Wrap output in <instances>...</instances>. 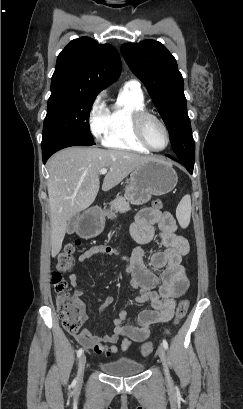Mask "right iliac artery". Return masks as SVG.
I'll return each mask as SVG.
<instances>
[{
  "label": "right iliac artery",
  "mask_w": 243,
  "mask_h": 409,
  "mask_svg": "<svg viewBox=\"0 0 243 409\" xmlns=\"http://www.w3.org/2000/svg\"><path fill=\"white\" fill-rule=\"evenodd\" d=\"M82 352H83L82 348H80V349L77 351V357H78V358L82 355ZM73 383H74V384L76 383V379L73 381Z\"/></svg>",
  "instance_id": "1"
}]
</instances>
